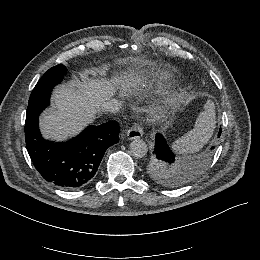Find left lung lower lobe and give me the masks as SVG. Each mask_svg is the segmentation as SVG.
Wrapping results in <instances>:
<instances>
[{
    "label": "left lung lower lobe",
    "instance_id": "0a47b994",
    "mask_svg": "<svg viewBox=\"0 0 260 260\" xmlns=\"http://www.w3.org/2000/svg\"><path fill=\"white\" fill-rule=\"evenodd\" d=\"M220 135H221V129L218 134V137ZM213 148L214 147H212L211 149H213ZM154 151H155L156 156L159 157L160 159L167 160V161H171V160L175 159L174 153L170 150L165 139L163 138V136L161 134L156 135V144H155Z\"/></svg>",
    "mask_w": 260,
    "mask_h": 260
}]
</instances>
